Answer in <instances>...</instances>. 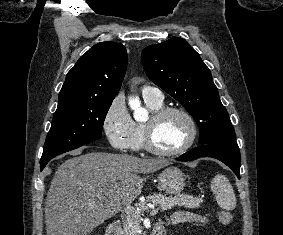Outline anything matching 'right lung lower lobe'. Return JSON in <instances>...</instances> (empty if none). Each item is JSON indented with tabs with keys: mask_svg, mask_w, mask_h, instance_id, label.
Masks as SVG:
<instances>
[{
	"mask_svg": "<svg viewBox=\"0 0 283 235\" xmlns=\"http://www.w3.org/2000/svg\"><path fill=\"white\" fill-rule=\"evenodd\" d=\"M82 145H83V144H82ZM82 145H78V146H76V147H73V148L70 149V150L76 149V148H78V147H80V146H82ZM70 150H67V151H70ZM67 151H66V152H67ZM63 153H64V152H63ZM50 160H51V159L46 160V161H43V162H40V169L42 170Z\"/></svg>",
	"mask_w": 283,
	"mask_h": 235,
	"instance_id": "98d812e1",
	"label": "right lung lower lobe"
}]
</instances>
